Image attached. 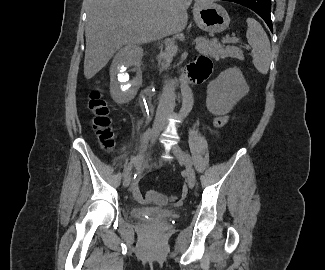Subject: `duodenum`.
<instances>
[{
    "label": "duodenum",
    "mask_w": 325,
    "mask_h": 270,
    "mask_svg": "<svg viewBox=\"0 0 325 270\" xmlns=\"http://www.w3.org/2000/svg\"><path fill=\"white\" fill-rule=\"evenodd\" d=\"M190 80H192V79L190 78L189 75H183V76L179 77L178 79H176L175 81H173L170 86L172 88H176L178 86H181V85L189 82ZM192 81L195 82L194 80H192Z\"/></svg>",
    "instance_id": "duodenum-1"
}]
</instances>
